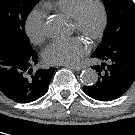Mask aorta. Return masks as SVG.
I'll return each mask as SVG.
<instances>
[{
  "label": "aorta",
  "instance_id": "762f6f07",
  "mask_svg": "<svg viewBox=\"0 0 135 135\" xmlns=\"http://www.w3.org/2000/svg\"><path fill=\"white\" fill-rule=\"evenodd\" d=\"M45 34L51 39H59L64 34V27L57 21H50L45 26ZM81 82L85 85H93L98 80L97 72L92 68L84 69L80 75Z\"/></svg>",
  "mask_w": 135,
  "mask_h": 135
}]
</instances>
